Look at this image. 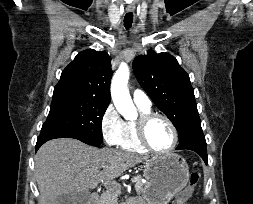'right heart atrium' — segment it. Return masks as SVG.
Instances as JSON below:
<instances>
[{
    "label": "right heart atrium",
    "instance_id": "right-heart-atrium-1",
    "mask_svg": "<svg viewBox=\"0 0 253 204\" xmlns=\"http://www.w3.org/2000/svg\"><path fill=\"white\" fill-rule=\"evenodd\" d=\"M124 129V120L120 117L116 108L113 105H109L100 121V130L104 141L109 145H119Z\"/></svg>",
    "mask_w": 253,
    "mask_h": 204
}]
</instances>
